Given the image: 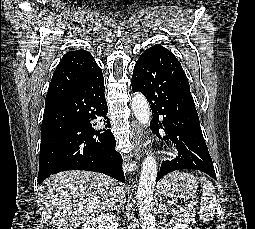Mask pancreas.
Listing matches in <instances>:
<instances>
[{
    "instance_id": "pancreas-1",
    "label": "pancreas",
    "mask_w": 255,
    "mask_h": 229,
    "mask_svg": "<svg viewBox=\"0 0 255 229\" xmlns=\"http://www.w3.org/2000/svg\"><path fill=\"white\" fill-rule=\"evenodd\" d=\"M195 211L192 209L181 212L178 216L174 217V220L182 221L185 224L194 222Z\"/></svg>"
}]
</instances>
